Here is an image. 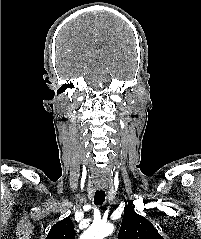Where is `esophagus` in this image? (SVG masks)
<instances>
[{"label": "esophagus", "mask_w": 201, "mask_h": 239, "mask_svg": "<svg viewBox=\"0 0 201 239\" xmlns=\"http://www.w3.org/2000/svg\"><path fill=\"white\" fill-rule=\"evenodd\" d=\"M105 187L104 186H100L99 189L103 190Z\"/></svg>", "instance_id": "esophagus-1"}]
</instances>
